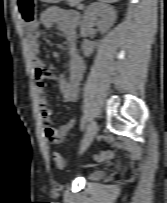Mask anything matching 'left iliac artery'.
Masks as SVG:
<instances>
[{
    "instance_id": "1",
    "label": "left iliac artery",
    "mask_w": 167,
    "mask_h": 203,
    "mask_svg": "<svg viewBox=\"0 0 167 203\" xmlns=\"http://www.w3.org/2000/svg\"><path fill=\"white\" fill-rule=\"evenodd\" d=\"M85 123H86V120H85V117L83 116V117L81 118V122H80L81 130L84 129V127H85Z\"/></svg>"
}]
</instances>
